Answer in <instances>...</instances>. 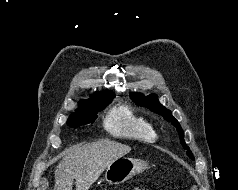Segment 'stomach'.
<instances>
[{
	"instance_id": "1",
	"label": "stomach",
	"mask_w": 238,
	"mask_h": 190,
	"mask_svg": "<svg viewBox=\"0 0 238 190\" xmlns=\"http://www.w3.org/2000/svg\"><path fill=\"white\" fill-rule=\"evenodd\" d=\"M147 164L139 159L122 158L114 161L105 172V180L110 185L121 184L145 170Z\"/></svg>"
}]
</instances>
